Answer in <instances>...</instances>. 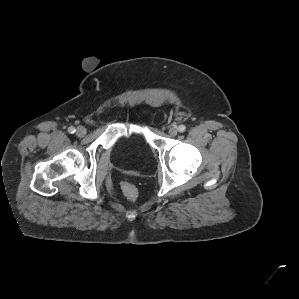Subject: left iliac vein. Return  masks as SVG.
<instances>
[{
	"label": "left iliac vein",
	"mask_w": 299,
	"mask_h": 299,
	"mask_svg": "<svg viewBox=\"0 0 299 299\" xmlns=\"http://www.w3.org/2000/svg\"><path fill=\"white\" fill-rule=\"evenodd\" d=\"M168 133L170 134V136L174 137V136L177 135L178 130H177L176 127H171V128L169 129Z\"/></svg>",
	"instance_id": "left-iliac-vein-1"
}]
</instances>
